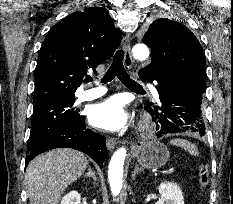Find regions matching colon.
I'll return each mask as SVG.
<instances>
[{
	"label": "colon",
	"mask_w": 233,
	"mask_h": 204,
	"mask_svg": "<svg viewBox=\"0 0 233 204\" xmlns=\"http://www.w3.org/2000/svg\"><path fill=\"white\" fill-rule=\"evenodd\" d=\"M197 175L199 179V184L202 190L209 188L210 184V173L209 168L206 163H201L197 168Z\"/></svg>",
	"instance_id": "colon-1"
}]
</instances>
